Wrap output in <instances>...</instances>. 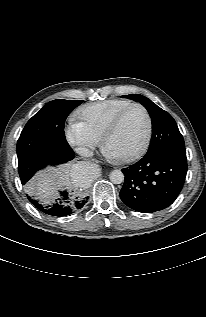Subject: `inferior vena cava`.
Returning <instances> with one entry per match:
<instances>
[{"label": "inferior vena cava", "mask_w": 206, "mask_h": 317, "mask_svg": "<svg viewBox=\"0 0 206 317\" xmlns=\"http://www.w3.org/2000/svg\"><path fill=\"white\" fill-rule=\"evenodd\" d=\"M75 150L80 156L83 157H91L93 155V152L84 146L77 147Z\"/></svg>", "instance_id": "obj_1"}]
</instances>
